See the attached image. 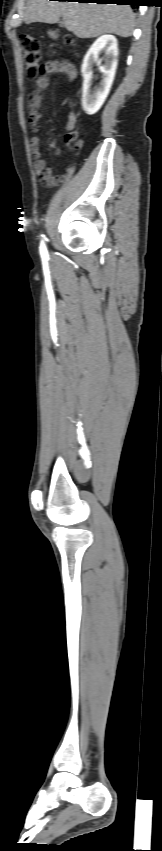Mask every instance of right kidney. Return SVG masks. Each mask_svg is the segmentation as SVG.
Masks as SVG:
<instances>
[{
  "instance_id": "ca27d5eb",
  "label": "right kidney",
  "mask_w": 162,
  "mask_h": 851,
  "mask_svg": "<svg viewBox=\"0 0 162 851\" xmlns=\"http://www.w3.org/2000/svg\"><path fill=\"white\" fill-rule=\"evenodd\" d=\"M104 53L105 64L99 67L103 77L98 86L92 89L93 67L101 61L99 55ZM118 47L113 35L100 36L87 51L81 72L83 76L82 108L88 115L95 114L105 102L117 68Z\"/></svg>"
}]
</instances>
